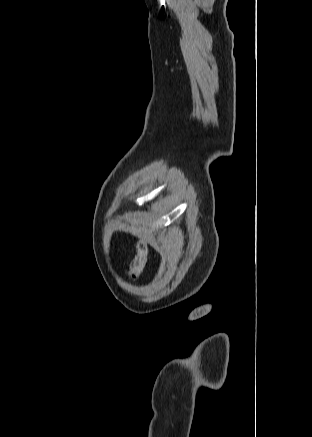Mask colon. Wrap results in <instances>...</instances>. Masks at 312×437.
Wrapping results in <instances>:
<instances>
[{
  "label": "colon",
  "mask_w": 312,
  "mask_h": 437,
  "mask_svg": "<svg viewBox=\"0 0 312 437\" xmlns=\"http://www.w3.org/2000/svg\"><path fill=\"white\" fill-rule=\"evenodd\" d=\"M135 247L136 255L132 260L127 273L131 279H136L140 275L148 259V248L144 241L138 240Z\"/></svg>",
  "instance_id": "1"
}]
</instances>
